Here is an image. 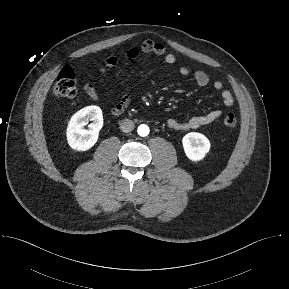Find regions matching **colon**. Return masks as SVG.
<instances>
[{
	"mask_svg": "<svg viewBox=\"0 0 289 289\" xmlns=\"http://www.w3.org/2000/svg\"><path fill=\"white\" fill-rule=\"evenodd\" d=\"M76 91V73L74 69L70 67L63 68L53 87L54 95L57 97L71 98L75 96ZM223 123L227 128H234L237 125L235 114L232 112L226 114Z\"/></svg>",
	"mask_w": 289,
	"mask_h": 289,
	"instance_id": "colon-1",
	"label": "colon"
}]
</instances>
